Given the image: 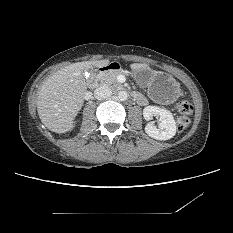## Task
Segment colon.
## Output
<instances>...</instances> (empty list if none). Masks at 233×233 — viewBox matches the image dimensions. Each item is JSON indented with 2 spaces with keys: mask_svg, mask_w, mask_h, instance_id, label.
Masks as SVG:
<instances>
[{
  "mask_svg": "<svg viewBox=\"0 0 233 233\" xmlns=\"http://www.w3.org/2000/svg\"><path fill=\"white\" fill-rule=\"evenodd\" d=\"M176 109L179 113V117L177 118V130L181 132L190 124V115L193 112V107L188 101L182 100L177 103Z\"/></svg>",
  "mask_w": 233,
  "mask_h": 233,
  "instance_id": "obj_1",
  "label": "colon"
}]
</instances>
